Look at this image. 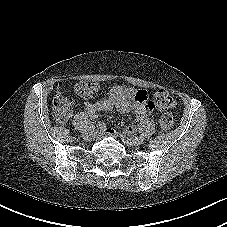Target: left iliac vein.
I'll return each mask as SVG.
<instances>
[{"label": "left iliac vein", "mask_w": 227, "mask_h": 227, "mask_svg": "<svg viewBox=\"0 0 227 227\" xmlns=\"http://www.w3.org/2000/svg\"><path fill=\"white\" fill-rule=\"evenodd\" d=\"M122 141L128 146H139L142 144V141L139 138L133 137L127 133H122L120 135Z\"/></svg>", "instance_id": "4c4485c4"}]
</instances>
